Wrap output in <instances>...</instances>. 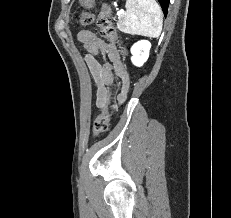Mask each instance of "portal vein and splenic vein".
I'll use <instances>...</instances> for the list:
<instances>
[{
    "instance_id": "1",
    "label": "portal vein and splenic vein",
    "mask_w": 231,
    "mask_h": 218,
    "mask_svg": "<svg viewBox=\"0 0 231 218\" xmlns=\"http://www.w3.org/2000/svg\"><path fill=\"white\" fill-rule=\"evenodd\" d=\"M122 13H123V10H120V11H119V14H122Z\"/></svg>"
}]
</instances>
